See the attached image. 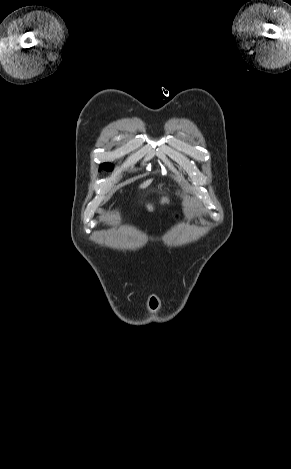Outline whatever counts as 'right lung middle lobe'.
I'll return each instance as SVG.
<instances>
[{"label":"right lung middle lobe","mask_w":291,"mask_h":469,"mask_svg":"<svg viewBox=\"0 0 291 469\" xmlns=\"http://www.w3.org/2000/svg\"><path fill=\"white\" fill-rule=\"evenodd\" d=\"M104 169L106 171H112L113 165L110 163H103L99 170Z\"/></svg>","instance_id":"dd1d6c3e"}]
</instances>
